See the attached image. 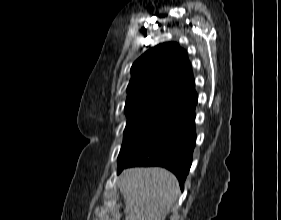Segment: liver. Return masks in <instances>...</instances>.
Instances as JSON below:
<instances>
[{"label":"liver","instance_id":"liver-1","mask_svg":"<svg viewBox=\"0 0 281 220\" xmlns=\"http://www.w3.org/2000/svg\"><path fill=\"white\" fill-rule=\"evenodd\" d=\"M125 220H165L180 188L177 178L160 167L125 169L119 178Z\"/></svg>","mask_w":281,"mask_h":220}]
</instances>
